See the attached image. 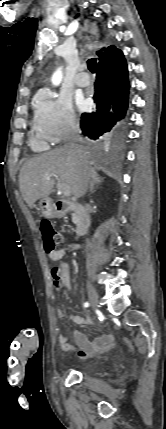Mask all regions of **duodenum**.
Returning a JSON list of instances; mask_svg holds the SVG:
<instances>
[{
  "label": "duodenum",
  "mask_w": 166,
  "mask_h": 429,
  "mask_svg": "<svg viewBox=\"0 0 166 429\" xmlns=\"http://www.w3.org/2000/svg\"><path fill=\"white\" fill-rule=\"evenodd\" d=\"M54 209L59 215H64L68 212H73L75 214L77 237L84 236L88 233L91 225V216L83 205L67 200H57L54 203Z\"/></svg>",
  "instance_id": "duodenum-1"
}]
</instances>
